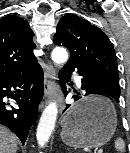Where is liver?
Wrapping results in <instances>:
<instances>
[{"mask_svg":"<svg viewBox=\"0 0 130 153\" xmlns=\"http://www.w3.org/2000/svg\"><path fill=\"white\" fill-rule=\"evenodd\" d=\"M17 137L0 125V153H16Z\"/></svg>","mask_w":130,"mask_h":153,"instance_id":"6515ba94","label":"liver"}]
</instances>
